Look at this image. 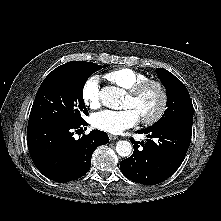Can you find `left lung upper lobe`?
<instances>
[{
    "instance_id": "left-lung-upper-lobe-1",
    "label": "left lung upper lobe",
    "mask_w": 221,
    "mask_h": 221,
    "mask_svg": "<svg viewBox=\"0 0 221 221\" xmlns=\"http://www.w3.org/2000/svg\"><path fill=\"white\" fill-rule=\"evenodd\" d=\"M156 72L166 88L167 109L163 116L148 128L177 126L192 129L193 105L187 88L169 71L158 68Z\"/></svg>"
}]
</instances>
